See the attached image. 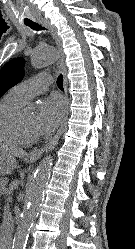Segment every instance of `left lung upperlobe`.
<instances>
[{
	"label": "left lung upper lobe",
	"instance_id": "left-lung-upper-lobe-1",
	"mask_svg": "<svg viewBox=\"0 0 135 249\" xmlns=\"http://www.w3.org/2000/svg\"><path fill=\"white\" fill-rule=\"evenodd\" d=\"M23 68V58H15L2 67L0 70V97L21 81L24 75Z\"/></svg>",
	"mask_w": 135,
	"mask_h": 249
}]
</instances>
